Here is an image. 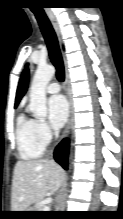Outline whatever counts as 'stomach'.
I'll return each mask as SVG.
<instances>
[{
	"label": "stomach",
	"mask_w": 123,
	"mask_h": 219,
	"mask_svg": "<svg viewBox=\"0 0 123 219\" xmlns=\"http://www.w3.org/2000/svg\"><path fill=\"white\" fill-rule=\"evenodd\" d=\"M26 211H35V209H33V208H29V209H27ZM25 216H30V215H32L31 213H25L24 214Z\"/></svg>",
	"instance_id": "stomach-1"
}]
</instances>
